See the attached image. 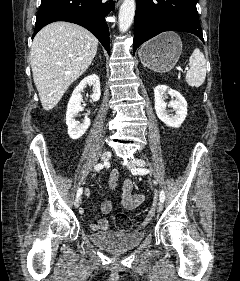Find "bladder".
I'll return each mask as SVG.
<instances>
[{"label":"bladder","instance_id":"obj_1","mask_svg":"<svg viewBox=\"0 0 240 281\" xmlns=\"http://www.w3.org/2000/svg\"><path fill=\"white\" fill-rule=\"evenodd\" d=\"M90 240L98 247L111 252H124L137 247L143 240L142 232H118L112 230L93 232Z\"/></svg>","mask_w":240,"mask_h":281}]
</instances>
